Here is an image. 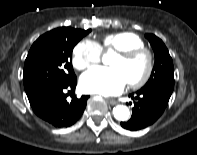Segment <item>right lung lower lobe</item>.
<instances>
[{"label": "right lung lower lobe", "instance_id": "obj_1", "mask_svg": "<svg viewBox=\"0 0 197 155\" xmlns=\"http://www.w3.org/2000/svg\"><path fill=\"white\" fill-rule=\"evenodd\" d=\"M77 84L76 76L60 87L51 88L39 96L29 101L37 116L52 124L55 127L62 128L74 124L82 115L89 96L81 98L74 97L69 103L66 101L68 93L75 91Z\"/></svg>", "mask_w": 197, "mask_h": 155}]
</instances>
